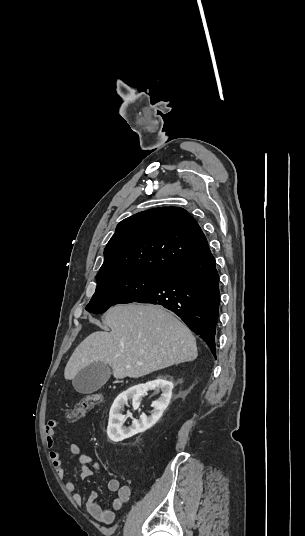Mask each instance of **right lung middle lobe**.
<instances>
[{
    "label": "right lung middle lobe",
    "mask_w": 305,
    "mask_h": 536,
    "mask_svg": "<svg viewBox=\"0 0 305 536\" xmlns=\"http://www.w3.org/2000/svg\"><path fill=\"white\" fill-rule=\"evenodd\" d=\"M167 273L132 272L115 278L97 280L96 291L86 310L99 314L120 303L135 302L160 284Z\"/></svg>",
    "instance_id": "1"
}]
</instances>
